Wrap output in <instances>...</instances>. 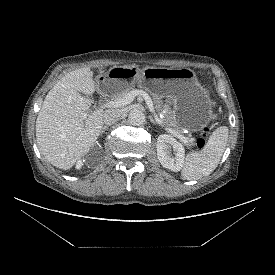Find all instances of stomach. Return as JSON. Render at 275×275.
Segmentation results:
<instances>
[{
	"label": "stomach",
	"mask_w": 275,
	"mask_h": 275,
	"mask_svg": "<svg viewBox=\"0 0 275 275\" xmlns=\"http://www.w3.org/2000/svg\"><path fill=\"white\" fill-rule=\"evenodd\" d=\"M135 84L155 95L173 97L175 108L172 116L181 128L198 131L211 119L209 93L190 68L114 66L96 78L101 93H117Z\"/></svg>",
	"instance_id": "0dacf381"
}]
</instances>
